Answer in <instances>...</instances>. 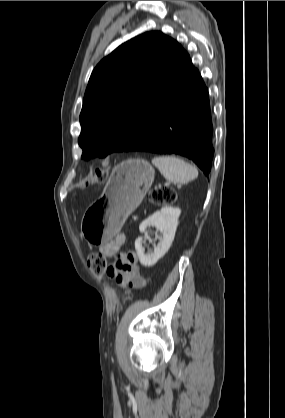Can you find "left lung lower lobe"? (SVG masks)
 <instances>
[{
  "label": "left lung lower lobe",
  "mask_w": 285,
  "mask_h": 418,
  "mask_svg": "<svg viewBox=\"0 0 285 418\" xmlns=\"http://www.w3.org/2000/svg\"><path fill=\"white\" fill-rule=\"evenodd\" d=\"M208 89L187 52L136 138L124 151L179 154L207 175L214 154Z\"/></svg>",
  "instance_id": "0a47b994"
}]
</instances>
